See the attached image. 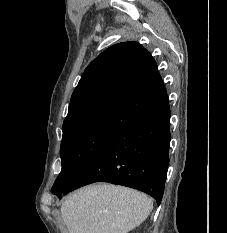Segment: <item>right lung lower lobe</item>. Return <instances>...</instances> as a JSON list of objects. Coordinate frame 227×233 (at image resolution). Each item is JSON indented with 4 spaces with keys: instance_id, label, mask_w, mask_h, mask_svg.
I'll use <instances>...</instances> for the list:
<instances>
[{
    "instance_id": "1",
    "label": "right lung lower lobe",
    "mask_w": 227,
    "mask_h": 233,
    "mask_svg": "<svg viewBox=\"0 0 227 233\" xmlns=\"http://www.w3.org/2000/svg\"><path fill=\"white\" fill-rule=\"evenodd\" d=\"M170 107L164 106L125 127L102 148L61 197L93 182L138 189L161 203L169 164Z\"/></svg>"
}]
</instances>
